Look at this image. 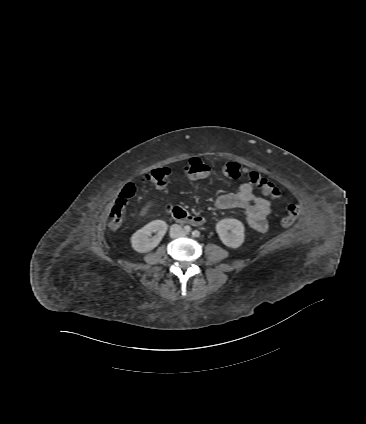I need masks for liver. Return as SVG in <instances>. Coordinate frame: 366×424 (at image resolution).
<instances>
[{
  "label": "liver",
  "instance_id": "1",
  "mask_svg": "<svg viewBox=\"0 0 366 424\" xmlns=\"http://www.w3.org/2000/svg\"><path fill=\"white\" fill-rule=\"evenodd\" d=\"M151 207V202H149L141 211L140 215H145L147 213V211L149 210V208Z\"/></svg>",
  "mask_w": 366,
  "mask_h": 424
}]
</instances>
